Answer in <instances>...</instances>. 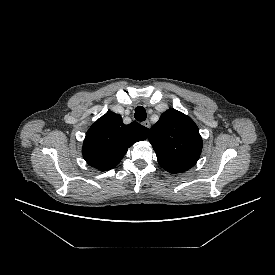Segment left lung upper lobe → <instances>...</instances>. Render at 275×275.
<instances>
[{"label":"left lung upper lobe","instance_id":"obj_1","mask_svg":"<svg viewBox=\"0 0 275 275\" xmlns=\"http://www.w3.org/2000/svg\"><path fill=\"white\" fill-rule=\"evenodd\" d=\"M149 141L160 166L176 174L192 168L202 151V138L192 119L173 108L150 129Z\"/></svg>","mask_w":275,"mask_h":275}]
</instances>
